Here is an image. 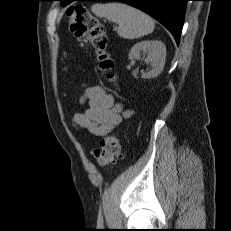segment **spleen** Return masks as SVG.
<instances>
[{"label":"spleen","instance_id":"obj_1","mask_svg":"<svg viewBox=\"0 0 231 231\" xmlns=\"http://www.w3.org/2000/svg\"><path fill=\"white\" fill-rule=\"evenodd\" d=\"M91 11L100 18L118 24L117 34L125 39H137L153 32L155 23L146 13L124 3H96Z\"/></svg>","mask_w":231,"mask_h":231}]
</instances>
